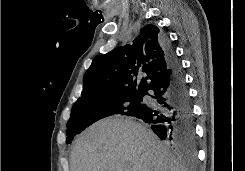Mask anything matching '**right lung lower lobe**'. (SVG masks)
<instances>
[{
    "mask_svg": "<svg viewBox=\"0 0 245 171\" xmlns=\"http://www.w3.org/2000/svg\"><path fill=\"white\" fill-rule=\"evenodd\" d=\"M162 46L170 73L142 94L150 96L154 103L142 104L132 116L149 123L162 140L193 149L196 142L193 110L183 70L166 38H162Z\"/></svg>",
    "mask_w": 245,
    "mask_h": 171,
    "instance_id": "obj_1",
    "label": "right lung lower lobe"
}]
</instances>
